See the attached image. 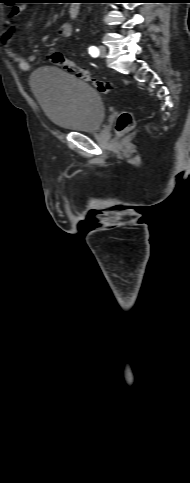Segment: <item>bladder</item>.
I'll return each instance as SVG.
<instances>
[{"instance_id":"1","label":"bladder","mask_w":190,"mask_h":483,"mask_svg":"<svg viewBox=\"0 0 190 483\" xmlns=\"http://www.w3.org/2000/svg\"><path fill=\"white\" fill-rule=\"evenodd\" d=\"M30 87L47 119L58 128L71 132L99 129L105 106L99 93L81 79L52 67L33 73Z\"/></svg>"}]
</instances>
